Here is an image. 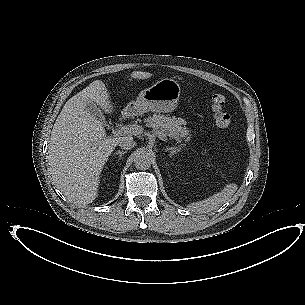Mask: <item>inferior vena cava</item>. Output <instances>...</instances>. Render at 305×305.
<instances>
[{"instance_id": "602c4592", "label": "inferior vena cava", "mask_w": 305, "mask_h": 305, "mask_svg": "<svg viewBox=\"0 0 305 305\" xmlns=\"http://www.w3.org/2000/svg\"><path fill=\"white\" fill-rule=\"evenodd\" d=\"M117 145H119L121 149L129 150L132 149L136 143L134 142V138L128 135L120 137L117 141Z\"/></svg>"}]
</instances>
